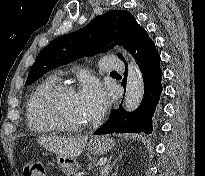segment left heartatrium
I'll use <instances>...</instances> for the list:
<instances>
[{
  "instance_id": "left-heart-atrium-1",
  "label": "left heart atrium",
  "mask_w": 205,
  "mask_h": 176,
  "mask_svg": "<svg viewBox=\"0 0 205 176\" xmlns=\"http://www.w3.org/2000/svg\"><path fill=\"white\" fill-rule=\"evenodd\" d=\"M77 97L88 118H97L106 109L107 96L100 84L95 80L85 81L81 85Z\"/></svg>"
}]
</instances>
